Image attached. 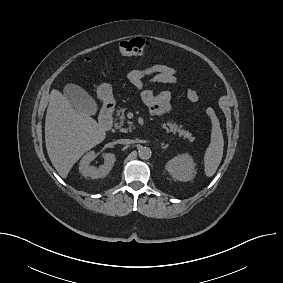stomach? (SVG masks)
Returning a JSON list of instances; mask_svg holds the SVG:
<instances>
[{
  "label": "stomach",
  "mask_w": 283,
  "mask_h": 283,
  "mask_svg": "<svg viewBox=\"0 0 283 283\" xmlns=\"http://www.w3.org/2000/svg\"><path fill=\"white\" fill-rule=\"evenodd\" d=\"M97 95L105 104H112L114 101L112 86L109 83H102L97 88Z\"/></svg>",
  "instance_id": "1"
}]
</instances>
